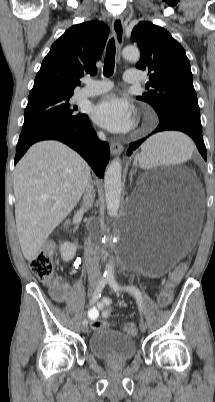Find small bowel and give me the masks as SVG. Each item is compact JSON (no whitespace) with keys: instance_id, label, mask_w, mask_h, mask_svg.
Here are the masks:
<instances>
[{"instance_id":"c3829d8e","label":"small bowel","mask_w":215,"mask_h":402,"mask_svg":"<svg viewBox=\"0 0 215 402\" xmlns=\"http://www.w3.org/2000/svg\"><path fill=\"white\" fill-rule=\"evenodd\" d=\"M60 285H61L63 291H66V290H67L68 287H67V285H66L65 283L60 284ZM111 302H112V301H111L110 298L105 297V298H103L101 301H99L95 307L89 308L88 311H87V315H88L89 319H90L92 322H95L96 320H98V318H99V311H100V310H103V309H105V308H107V307H109V306L111 305ZM103 316H104V317H107V316H108V313L105 312V313L103 314Z\"/></svg>"}]
</instances>
